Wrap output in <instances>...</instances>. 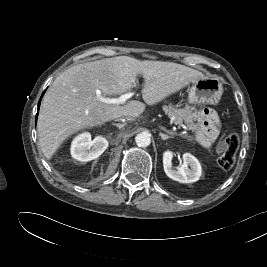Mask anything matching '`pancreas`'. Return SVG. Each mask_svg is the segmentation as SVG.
<instances>
[{
	"label": "pancreas",
	"mask_w": 267,
	"mask_h": 267,
	"mask_svg": "<svg viewBox=\"0 0 267 267\" xmlns=\"http://www.w3.org/2000/svg\"><path fill=\"white\" fill-rule=\"evenodd\" d=\"M178 106L172 104L164 105L163 110L168 113L175 124L185 123L192 131H197L198 125L195 121V112L189 107L178 109Z\"/></svg>",
	"instance_id": "pancreas-1"
}]
</instances>
